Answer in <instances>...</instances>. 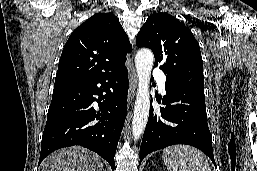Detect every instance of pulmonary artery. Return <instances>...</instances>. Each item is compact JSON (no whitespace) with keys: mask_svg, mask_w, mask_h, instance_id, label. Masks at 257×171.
Returning <instances> with one entry per match:
<instances>
[{"mask_svg":"<svg viewBox=\"0 0 257 171\" xmlns=\"http://www.w3.org/2000/svg\"><path fill=\"white\" fill-rule=\"evenodd\" d=\"M153 76L157 79L158 81V86H159V90L162 92V93H165V84H166V76L165 74L158 70V69H155L153 71Z\"/></svg>","mask_w":257,"mask_h":171,"instance_id":"e3ab8cb5","label":"pulmonary artery"}]
</instances>
